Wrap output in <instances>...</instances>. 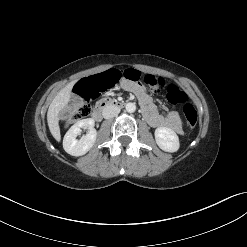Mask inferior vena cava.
<instances>
[{"instance_id": "1", "label": "inferior vena cava", "mask_w": 247, "mask_h": 247, "mask_svg": "<svg viewBox=\"0 0 247 247\" xmlns=\"http://www.w3.org/2000/svg\"><path fill=\"white\" fill-rule=\"evenodd\" d=\"M119 112H120L119 107L112 105V104H108L104 106L102 110V115L105 119H110V118L117 116Z\"/></svg>"}]
</instances>
